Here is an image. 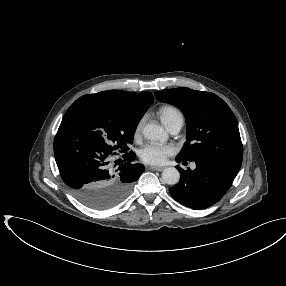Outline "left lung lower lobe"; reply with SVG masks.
<instances>
[{"label": "left lung lower lobe", "mask_w": 286, "mask_h": 286, "mask_svg": "<svg viewBox=\"0 0 286 286\" xmlns=\"http://www.w3.org/2000/svg\"><path fill=\"white\" fill-rule=\"evenodd\" d=\"M177 162L182 159L176 157ZM195 170L176 168L181 174L179 183L169 189L171 196L191 209H204L217 203L232 185L241 166L219 160L199 159Z\"/></svg>", "instance_id": "1"}]
</instances>
